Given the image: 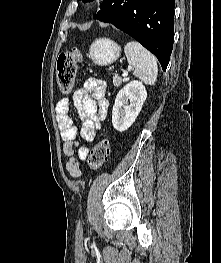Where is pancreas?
Listing matches in <instances>:
<instances>
[{"instance_id":"1","label":"pancreas","mask_w":221,"mask_h":263,"mask_svg":"<svg viewBox=\"0 0 221 263\" xmlns=\"http://www.w3.org/2000/svg\"><path fill=\"white\" fill-rule=\"evenodd\" d=\"M112 81H113V85H114L116 88H118V87L122 84V82L124 81V79H122L121 77H118V76H113Z\"/></svg>"}]
</instances>
